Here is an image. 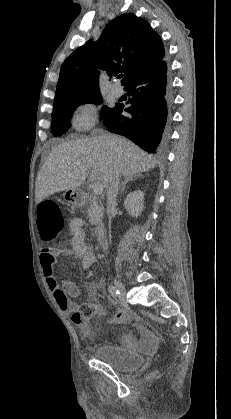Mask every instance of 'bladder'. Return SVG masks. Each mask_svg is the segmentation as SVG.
Returning a JSON list of instances; mask_svg holds the SVG:
<instances>
[{
  "instance_id": "bladder-1",
  "label": "bladder",
  "mask_w": 231,
  "mask_h": 419,
  "mask_svg": "<svg viewBox=\"0 0 231 419\" xmlns=\"http://www.w3.org/2000/svg\"><path fill=\"white\" fill-rule=\"evenodd\" d=\"M95 359L121 372L137 369L144 363L142 354L127 351L111 343H102L94 351Z\"/></svg>"
}]
</instances>
